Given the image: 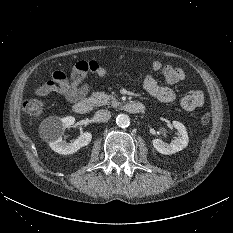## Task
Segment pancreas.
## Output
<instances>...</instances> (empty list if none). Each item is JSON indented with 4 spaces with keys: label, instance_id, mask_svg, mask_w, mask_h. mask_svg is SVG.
I'll list each match as a JSON object with an SVG mask.
<instances>
[{
    "label": "pancreas",
    "instance_id": "cf45deb5",
    "mask_svg": "<svg viewBox=\"0 0 233 233\" xmlns=\"http://www.w3.org/2000/svg\"><path fill=\"white\" fill-rule=\"evenodd\" d=\"M93 96L96 100V105L98 106H102V105L117 106L119 104L114 96L108 95L104 92H94Z\"/></svg>",
    "mask_w": 233,
    "mask_h": 233
}]
</instances>
